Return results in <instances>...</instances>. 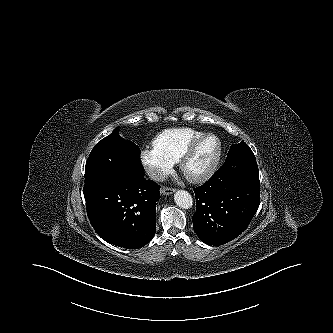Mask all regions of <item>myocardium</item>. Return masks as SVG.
Masks as SVG:
<instances>
[{
    "label": "myocardium",
    "mask_w": 333,
    "mask_h": 333,
    "mask_svg": "<svg viewBox=\"0 0 333 333\" xmlns=\"http://www.w3.org/2000/svg\"><path fill=\"white\" fill-rule=\"evenodd\" d=\"M208 139H214L217 144L215 154L208 165L199 172L190 173L188 171V165L200 146ZM222 155V143L220 139L214 134H204L194 142H192L189 147L185 150L184 154L180 159V169L183 175L191 182L198 183L207 180L217 169Z\"/></svg>",
    "instance_id": "myocardium-1"
}]
</instances>
